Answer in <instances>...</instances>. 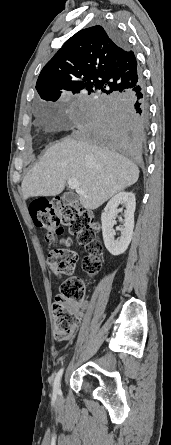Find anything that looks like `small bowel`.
<instances>
[{
  "mask_svg": "<svg viewBox=\"0 0 171 445\" xmlns=\"http://www.w3.org/2000/svg\"><path fill=\"white\" fill-rule=\"evenodd\" d=\"M64 242H65V241H64L63 239H62V240H60V243H61V244H63Z\"/></svg>",
  "mask_w": 171,
  "mask_h": 445,
  "instance_id": "obj_1",
  "label": "small bowel"
}]
</instances>
